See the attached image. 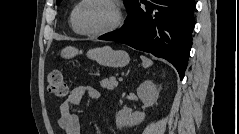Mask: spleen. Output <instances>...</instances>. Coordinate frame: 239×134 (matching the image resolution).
I'll return each instance as SVG.
<instances>
[{
    "label": "spleen",
    "instance_id": "1",
    "mask_svg": "<svg viewBox=\"0 0 239 134\" xmlns=\"http://www.w3.org/2000/svg\"><path fill=\"white\" fill-rule=\"evenodd\" d=\"M142 64L145 68H148L153 64L152 60L146 58L145 56H141Z\"/></svg>",
    "mask_w": 239,
    "mask_h": 134
}]
</instances>
